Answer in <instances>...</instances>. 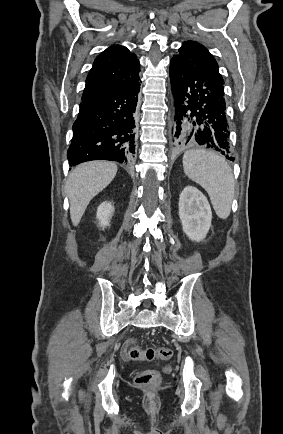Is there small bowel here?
Here are the masks:
<instances>
[{"instance_id":"1","label":"small bowel","mask_w":283,"mask_h":434,"mask_svg":"<svg viewBox=\"0 0 283 434\" xmlns=\"http://www.w3.org/2000/svg\"><path fill=\"white\" fill-rule=\"evenodd\" d=\"M123 353H124L125 357H127V349L126 348L124 349Z\"/></svg>"}]
</instances>
